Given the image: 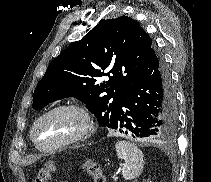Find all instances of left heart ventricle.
Segmentation results:
<instances>
[{
    "label": "left heart ventricle",
    "mask_w": 211,
    "mask_h": 182,
    "mask_svg": "<svg viewBox=\"0 0 211 182\" xmlns=\"http://www.w3.org/2000/svg\"><path fill=\"white\" fill-rule=\"evenodd\" d=\"M82 118L74 111L60 110L44 118L35 130L41 146H50L75 135L82 127Z\"/></svg>",
    "instance_id": "b2bd125f"
}]
</instances>
